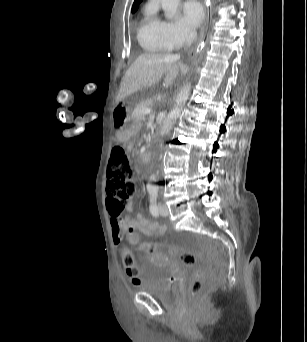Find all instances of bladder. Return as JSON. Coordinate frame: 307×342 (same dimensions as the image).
Listing matches in <instances>:
<instances>
[{"instance_id":"obj_1","label":"bladder","mask_w":307,"mask_h":342,"mask_svg":"<svg viewBox=\"0 0 307 342\" xmlns=\"http://www.w3.org/2000/svg\"><path fill=\"white\" fill-rule=\"evenodd\" d=\"M137 286L141 291L163 300H169L174 290L169 273L160 266H153L147 270Z\"/></svg>"}]
</instances>
